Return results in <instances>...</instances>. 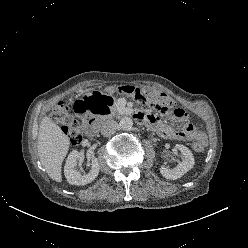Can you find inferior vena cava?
I'll use <instances>...</instances> for the list:
<instances>
[{"mask_svg": "<svg viewBox=\"0 0 248 248\" xmlns=\"http://www.w3.org/2000/svg\"><path fill=\"white\" fill-rule=\"evenodd\" d=\"M116 129L117 123L114 120H108L101 126V134L107 137L114 134Z\"/></svg>", "mask_w": 248, "mask_h": 248, "instance_id": "inferior-vena-cava-1", "label": "inferior vena cava"}]
</instances>
